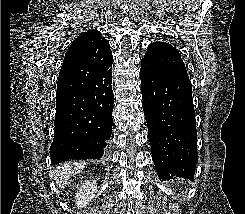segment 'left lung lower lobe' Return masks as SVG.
<instances>
[{"instance_id":"left-lung-lower-lobe-1","label":"left lung lower lobe","mask_w":245,"mask_h":214,"mask_svg":"<svg viewBox=\"0 0 245 214\" xmlns=\"http://www.w3.org/2000/svg\"><path fill=\"white\" fill-rule=\"evenodd\" d=\"M140 77L152 159L159 178L194 181L198 153L191 81L145 66H141Z\"/></svg>"}]
</instances>
